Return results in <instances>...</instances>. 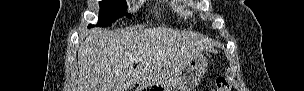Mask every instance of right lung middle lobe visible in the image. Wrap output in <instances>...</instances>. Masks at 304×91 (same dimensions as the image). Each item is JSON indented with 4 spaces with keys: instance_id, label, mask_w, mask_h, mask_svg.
Masks as SVG:
<instances>
[{
    "instance_id": "1",
    "label": "right lung middle lobe",
    "mask_w": 304,
    "mask_h": 91,
    "mask_svg": "<svg viewBox=\"0 0 304 91\" xmlns=\"http://www.w3.org/2000/svg\"><path fill=\"white\" fill-rule=\"evenodd\" d=\"M99 6V25H110L111 22L120 18L127 8L124 0H103ZM127 18H131V14H127Z\"/></svg>"
}]
</instances>
